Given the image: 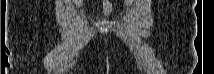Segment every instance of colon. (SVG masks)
I'll return each mask as SVG.
<instances>
[{
	"label": "colon",
	"instance_id": "1",
	"mask_svg": "<svg viewBox=\"0 0 214 74\" xmlns=\"http://www.w3.org/2000/svg\"><path fill=\"white\" fill-rule=\"evenodd\" d=\"M103 13L109 14L112 11V6L109 1H103Z\"/></svg>",
	"mask_w": 214,
	"mask_h": 74
}]
</instances>
